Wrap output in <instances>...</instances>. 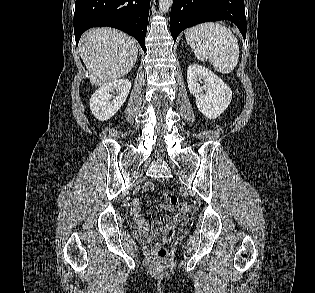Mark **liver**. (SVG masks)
<instances>
[{
  "label": "liver",
  "instance_id": "liver-1",
  "mask_svg": "<svg viewBox=\"0 0 315 293\" xmlns=\"http://www.w3.org/2000/svg\"><path fill=\"white\" fill-rule=\"evenodd\" d=\"M80 56L94 86L127 75L136 63L138 48L134 39L112 28L91 29L79 43Z\"/></svg>",
  "mask_w": 315,
  "mask_h": 293
}]
</instances>
